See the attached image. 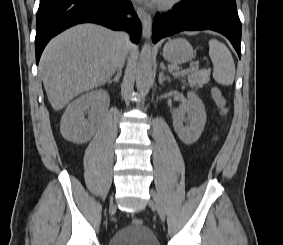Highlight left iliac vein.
Here are the masks:
<instances>
[{
	"instance_id": "1",
	"label": "left iliac vein",
	"mask_w": 283,
	"mask_h": 245,
	"mask_svg": "<svg viewBox=\"0 0 283 245\" xmlns=\"http://www.w3.org/2000/svg\"><path fill=\"white\" fill-rule=\"evenodd\" d=\"M150 195H151V203L155 207V209L158 212L159 217L164 220L165 219V211L162 205V202L160 200L159 195L157 192L153 189L150 190Z\"/></svg>"
}]
</instances>
